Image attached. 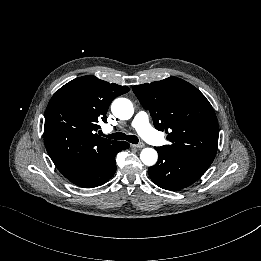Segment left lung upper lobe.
Listing matches in <instances>:
<instances>
[{
  "mask_svg": "<svg viewBox=\"0 0 261 261\" xmlns=\"http://www.w3.org/2000/svg\"><path fill=\"white\" fill-rule=\"evenodd\" d=\"M133 91L150 111L155 128L168 134L170 143L157 149L213 162L219 126L211 104L197 88L182 79L169 77L136 85Z\"/></svg>",
  "mask_w": 261,
  "mask_h": 261,
  "instance_id": "left-lung-upper-lobe-1",
  "label": "left lung upper lobe"
}]
</instances>
